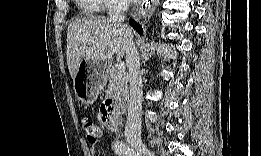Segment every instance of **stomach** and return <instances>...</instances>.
I'll return each instance as SVG.
<instances>
[{
  "mask_svg": "<svg viewBox=\"0 0 261 156\" xmlns=\"http://www.w3.org/2000/svg\"><path fill=\"white\" fill-rule=\"evenodd\" d=\"M106 68V61L93 60L86 62L85 73L78 71L74 79V90L82 103L90 105L96 101L104 83Z\"/></svg>",
  "mask_w": 261,
  "mask_h": 156,
  "instance_id": "1",
  "label": "stomach"
}]
</instances>
